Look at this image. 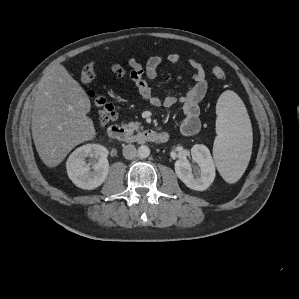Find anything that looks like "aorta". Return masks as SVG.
Listing matches in <instances>:
<instances>
[{"label":"aorta","mask_w":299,"mask_h":299,"mask_svg":"<svg viewBox=\"0 0 299 299\" xmlns=\"http://www.w3.org/2000/svg\"><path fill=\"white\" fill-rule=\"evenodd\" d=\"M137 154L140 158L145 159L150 155V148L146 145H141L137 150Z\"/></svg>","instance_id":"1"}]
</instances>
